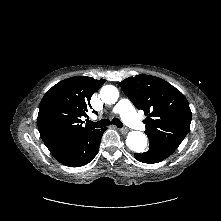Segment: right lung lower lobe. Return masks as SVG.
Wrapping results in <instances>:
<instances>
[{"label": "right lung lower lobe", "mask_w": 221, "mask_h": 221, "mask_svg": "<svg viewBox=\"0 0 221 221\" xmlns=\"http://www.w3.org/2000/svg\"><path fill=\"white\" fill-rule=\"evenodd\" d=\"M104 131L105 128L88 131L52 154L57 161L66 166H84L96 156Z\"/></svg>", "instance_id": "1"}]
</instances>
